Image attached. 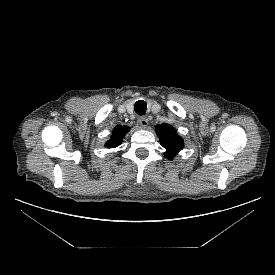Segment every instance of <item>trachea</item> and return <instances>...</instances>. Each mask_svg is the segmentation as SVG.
Here are the masks:
<instances>
[{"label":"trachea","mask_w":275,"mask_h":275,"mask_svg":"<svg viewBox=\"0 0 275 275\" xmlns=\"http://www.w3.org/2000/svg\"><path fill=\"white\" fill-rule=\"evenodd\" d=\"M147 104L144 100H138L134 105V110L138 115H144L146 113Z\"/></svg>","instance_id":"1"}]
</instances>
